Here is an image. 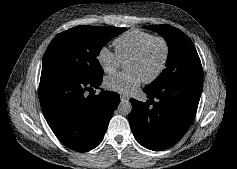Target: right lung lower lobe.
I'll return each instance as SVG.
<instances>
[{
  "label": "right lung lower lobe",
  "instance_id": "98d812e1",
  "mask_svg": "<svg viewBox=\"0 0 237 169\" xmlns=\"http://www.w3.org/2000/svg\"><path fill=\"white\" fill-rule=\"evenodd\" d=\"M102 77L83 79L58 73H41L39 97L43 114L56 137L68 148L86 152L98 146L120 102L115 92L98 88Z\"/></svg>",
  "mask_w": 237,
  "mask_h": 169
}]
</instances>
